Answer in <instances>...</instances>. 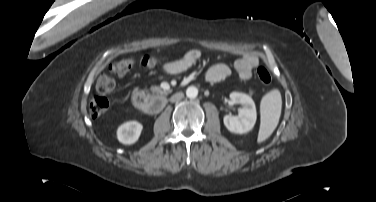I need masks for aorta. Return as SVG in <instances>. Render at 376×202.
Listing matches in <instances>:
<instances>
[{
  "mask_svg": "<svg viewBox=\"0 0 376 202\" xmlns=\"http://www.w3.org/2000/svg\"><path fill=\"white\" fill-rule=\"evenodd\" d=\"M198 89L195 86H190L186 90V96L190 99L197 97Z\"/></svg>",
  "mask_w": 376,
  "mask_h": 202,
  "instance_id": "762f6f07",
  "label": "aorta"
}]
</instances>
